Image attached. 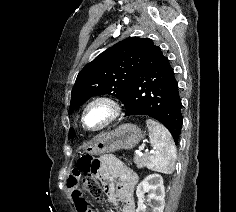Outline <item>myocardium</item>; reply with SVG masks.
Here are the masks:
<instances>
[{"label":"myocardium","instance_id":"myocardium-1","mask_svg":"<svg viewBox=\"0 0 236 212\" xmlns=\"http://www.w3.org/2000/svg\"><path fill=\"white\" fill-rule=\"evenodd\" d=\"M97 105H102L107 109V117L103 121V123L100 124L99 126L89 127L85 123V116H86L87 112L92 107L97 106ZM120 113H121V107L115 99L108 97V96H96V97L92 98L91 100H89L85 104V106L83 107L82 112H81L80 121H81V124L85 130L91 131V132H96V131H100V130L106 128L107 126L112 124L114 121H116V119L119 117Z\"/></svg>","mask_w":236,"mask_h":212}]
</instances>
